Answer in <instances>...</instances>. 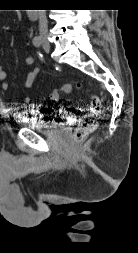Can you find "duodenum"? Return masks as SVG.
Returning a JSON list of instances; mask_svg holds the SVG:
<instances>
[{
	"label": "duodenum",
	"instance_id": "410a0bca",
	"mask_svg": "<svg viewBox=\"0 0 138 253\" xmlns=\"http://www.w3.org/2000/svg\"><path fill=\"white\" fill-rule=\"evenodd\" d=\"M27 15L29 19L35 20L38 17V11L36 9H29Z\"/></svg>",
	"mask_w": 138,
	"mask_h": 253
}]
</instances>
